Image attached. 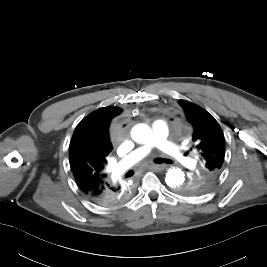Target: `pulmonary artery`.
I'll return each mask as SVG.
<instances>
[{"label": "pulmonary artery", "mask_w": 267, "mask_h": 267, "mask_svg": "<svg viewBox=\"0 0 267 267\" xmlns=\"http://www.w3.org/2000/svg\"><path fill=\"white\" fill-rule=\"evenodd\" d=\"M154 139L151 143L141 145L131 151L127 156L120 160L113 166V172L117 175L122 174L137 162L148 156L150 152L158 147L164 151L167 155L173 157L180 163L187 164L189 160L183 156L181 149L173 142H168L166 137L169 132L168 125L165 121L158 120L154 122L153 126Z\"/></svg>", "instance_id": "1"}]
</instances>
